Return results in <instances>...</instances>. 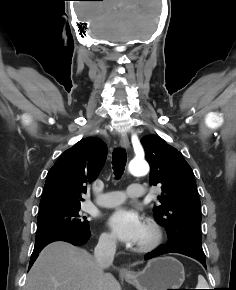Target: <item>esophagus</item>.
Returning <instances> with one entry per match:
<instances>
[{
    "label": "esophagus",
    "instance_id": "1",
    "mask_svg": "<svg viewBox=\"0 0 236 290\" xmlns=\"http://www.w3.org/2000/svg\"><path fill=\"white\" fill-rule=\"evenodd\" d=\"M120 145H121V147L124 148V149H127V148L130 147V142H129V139H128L127 135H125V134H122V135H121V137H120ZM120 272H121L122 274H126V275H127V274H130V271L127 270V269H124V268H122V269L120 270Z\"/></svg>",
    "mask_w": 236,
    "mask_h": 290
}]
</instances>
